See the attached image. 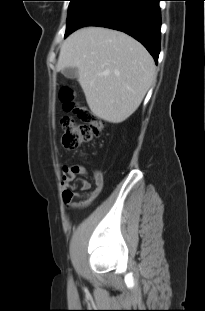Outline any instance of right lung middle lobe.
<instances>
[{
  "label": "right lung middle lobe",
  "mask_w": 205,
  "mask_h": 311,
  "mask_svg": "<svg viewBox=\"0 0 205 311\" xmlns=\"http://www.w3.org/2000/svg\"><path fill=\"white\" fill-rule=\"evenodd\" d=\"M69 1H70V4H69V9H68V17H67V29H66L65 34H67L69 30L72 28L74 22L83 12L85 6L90 0H69Z\"/></svg>",
  "instance_id": "1"
}]
</instances>
